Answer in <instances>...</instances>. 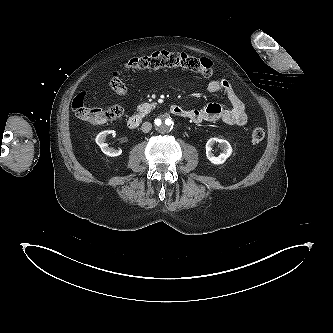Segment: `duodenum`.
<instances>
[{
  "instance_id": "duodenum-1",
  "label": "duodenum",
  "mask_w": 333,
  "mask_h": 333,
  "mask_svg": "<svg viewBox=\"0 0 333 333\" xmlns=\"http://www.w3.org/2000/svg\"><path fill=\"white\" fill-rule=\"evenodd\" d=\"M170 112L176 116L184 117L186 115V110L179 105H172ZM142 122V117L139 114L131 115L127 120V126L130 129H136L140 126Z\"/></svg>"
}]
</instances>
